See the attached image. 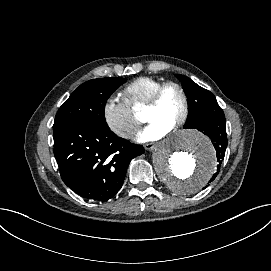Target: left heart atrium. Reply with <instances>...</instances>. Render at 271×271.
<instances>
[{
	"instance_id": "1",
	"label": "left heart atrium",
	"mask_w": 271,
	"mask_h": 271,
	"mask_svg": "<svg viewBox=\"0 0 271 271\" xmlns=\"http://www.w3.org/2000/svg\"><path fill=\"white\" fill-rule=\"evenodd\" d=\"M170 130L157 123H149L146 127L139 130L134 139L139 143L154 142L164 138Z\"/></svg>"
}]
</instances>
